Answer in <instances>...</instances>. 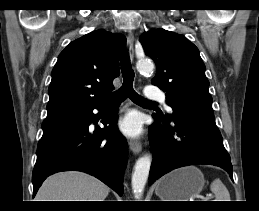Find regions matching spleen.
<instances>
[{
	"mask_svg": "<svg viewBox=\"0 0 259 211\" xmlns=\"http://www.w3.org/2000/svg\"><path fill=\"white\" fill-rule=\"evenodd\" d=\"M211 191L215 195V201H231L228 189L219 178L212 182Z\"/></svg>",
	"mask_w": 259,
	"mask_h": 211,
	"instance_id": "3e777b00",
	"label": "spleen"
}]
</instances>
